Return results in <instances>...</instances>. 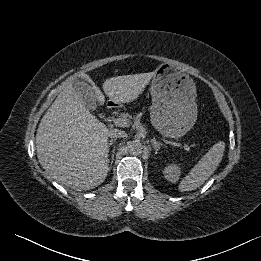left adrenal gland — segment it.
<instances>
[{
    "instance_id": "1",
    "label": "left adrenal gland",
    "mask_w": 261,
    "mask_h": 261,
    "mask_svg": "<svg viewBox=\"0 0 261 261\" xmlns=\"http://www.w3.org/2000/svg\"><path fill=\"white\" fill-rule=\"evenodd\" d=\"M152 146H153V148L155 150V154H157L159 149L162 147V144L157 142V141H153L152 142Z\"/></svg>"
}]
</instances>
